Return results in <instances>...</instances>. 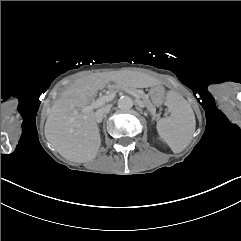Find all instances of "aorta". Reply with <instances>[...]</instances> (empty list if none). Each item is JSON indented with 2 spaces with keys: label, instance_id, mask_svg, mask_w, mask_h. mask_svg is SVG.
<instances>
[{
  "label": "aorta",
  "instance_id": "obj_1",
  "mask_svg": "<svg viewBox=\"0 0 241 241\" xmlns=\"http://www.w3.org/2000/svg\"><path fill=\"white\" fill-rule=\"evenodd\" d=\"M118 107L121 110L127 111L133 107V99L129 96H123L118 100Z\"/></svg>",
  "mask_w": 241,
  "mask_h": 241
}]
</instances>
